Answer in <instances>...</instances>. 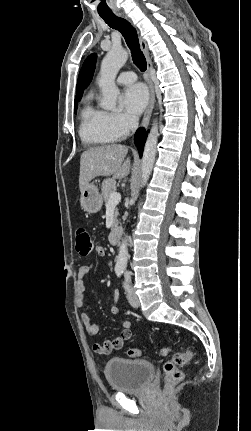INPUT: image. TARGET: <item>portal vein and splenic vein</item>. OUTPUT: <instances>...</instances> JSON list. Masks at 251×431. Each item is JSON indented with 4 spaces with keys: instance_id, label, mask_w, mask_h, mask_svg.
Here are the masks:
<instances>
[{
    "instance_id": "obj_1",
    "label": "portal vein and splenic vein",
    "mask_w": 251,
    "mask_h": 431,
    "mask_svg": "<svg viewBox=\"0 0 251 431\" xmlns=\"http://www.w3.org/2000/svg\"><path fill=\"white\" fill-rule=\"evenodd\" d=\"M121 201V194L114 192L109 197V204L117 205Z\"/></svg>"
}]
</instances>
